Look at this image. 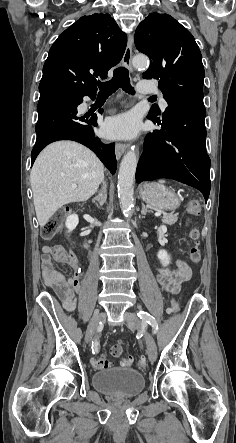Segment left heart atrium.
Here are the masks:
<instances>
[{
    "label": "left heart atrium",
    "mask_w": 236,
    "mask_h": 443,
    "mask_svg": "<svg viewBox=\"0 0 236 443\" xmlns=\"http://www.w3.org/2000/svg\"><path fill=\"white\" fill-rule=\"evenodd\" d=\"M139 127L138 117L134 113L127 112L108 119L104 131L108 137L128 139L138 134Z\"/></svg>",
    "instance_id": "obj_1"
}]
</instances>
